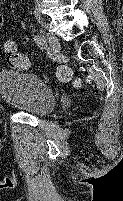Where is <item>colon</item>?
<instances>
[{"label": "colon", "instance_id": "1", "mask_svg": "<svg viewBox=\"0 0 123 201\" xmlns=\"http://www.w3.org/2000/svg\"><path fill=\"white\" fill-rule=\"evenodd\" d=\"M8 64L14 69H27L30 65L28 57L20 53L13 41L4 43ZM57 77L62 81H72L74 79L72 71L65 66L58 68Z\"/></svg>", "mask_w": 123, "mask_h": 201}]
</instances>
